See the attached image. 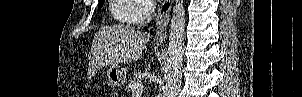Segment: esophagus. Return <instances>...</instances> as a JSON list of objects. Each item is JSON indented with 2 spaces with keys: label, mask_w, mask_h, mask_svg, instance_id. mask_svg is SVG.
<instances>
[{
  "label": "esophagus",
  "mask_w": 302,
  "mask_h": 97,
  "mask_svg": "<svg viewBox=\"0 0 302 97\" xmlns=\"http://www.w3.org/2000/svg\"><path fill=\"white\" fill-rule=\"evenodd\" d=\"M173 0H164L156 18L155 42L163 43L167 37V27Z\"/></svg>",
  "instance_id": "esophagus-1"
}]
</instances>
